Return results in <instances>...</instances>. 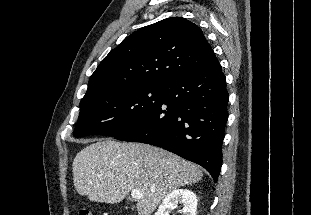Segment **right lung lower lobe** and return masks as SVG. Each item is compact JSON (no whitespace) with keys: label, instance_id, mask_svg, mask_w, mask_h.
<instances>
[{"label":"right lung lower lobe","instance_id":"1","mask_svg":"<svg viewBox=\"0 0 311 215\" xmlns=\"http://www.w3.org/2000/svg\"><path fill=\"white\" fill-rule=\"evenodd\" d=\"M229 94L219 61L163 85L160 105L114 136L162 147L204 167L217 182Z\"/></svg>","mask_w":311,"mask_h":215}]
</instances>
